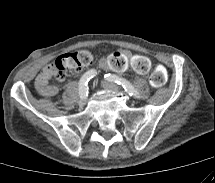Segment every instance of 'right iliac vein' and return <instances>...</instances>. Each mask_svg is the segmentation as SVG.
Returning <instances> with one entry per match:
<instances>
[{"label": "right iliac vein", "mask_w": 215, "mask_h": 183, "mask_svg": "<svg viewBox=\"0 0 215 183\" xmlns=\"http://www.w3.org/2000/svg\"><path fill=\"white\" fill-rule=\"evenodd\" d=\"M86 104V97H81L79 100V105L84 106Z\"/></svg>", "instance_id": "63e3f726"}]
</instances>
